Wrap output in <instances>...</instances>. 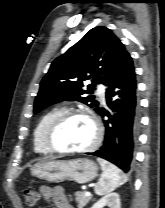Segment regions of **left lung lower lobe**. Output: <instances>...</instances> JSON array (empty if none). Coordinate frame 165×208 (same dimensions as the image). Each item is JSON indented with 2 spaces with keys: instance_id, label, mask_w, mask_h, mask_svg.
<instances>
[{
  "instance_id": "0a47b994",
  "label": "left lung lower lobe",
  "mask_w": 165,
  "mask_h": 208,
  "mask_svg": "<svg viewBox=\"0 0 165 208\" xmlns=\"http://www.w3.org/2000/svg\"><path fill=\"white\" fill-rule=\"evenodd\" d=\"M107 86L106 102L111 112L103 108L98 111L102 117L109 118L103 121L106 128L105 140L101 148L91 155L108 160L128 173L132 170L140 126L137 82L130 55Z\"/></svg>"
}]
</instances>
